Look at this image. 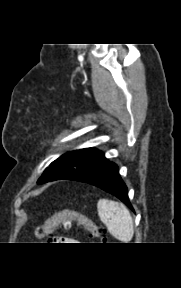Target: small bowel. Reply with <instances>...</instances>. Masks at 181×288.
<instances>
[{
    "label": "small bowel",
    "mask_w": 181,
    "mask_h": 288,
    "mask_svg": "<svg viewBox=\"0 0 181 288\" xmlns=\"http://www.w3.org/2000/svg\"><path fill=\"white\" fill-rule=\"evenodd\" d=\"M58 243H77L76 240L73 238H68V237H58L57 238Z\"/></svg>",
    "instance_id": "small-bowel-1"
}]
</instances>
